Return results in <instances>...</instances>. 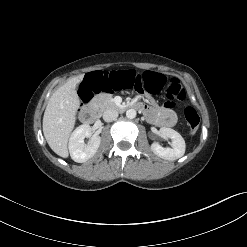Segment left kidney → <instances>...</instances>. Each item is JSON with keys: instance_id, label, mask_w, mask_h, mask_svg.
<instances>
[{"instance_id": "5707ae66", "label": "left kidney", "mask_w": 247, "mask_h": 247, "mask_svg": "<svg viewBox=\"0 0 247 247\" xmlns=\"http://www.w3.org/2000/svg\"><path fill=\"white\" fill-rule=\"evenodd\" d=\"M159 134L172 140V148H163L159 143L153 142L151 145V150L154 154L165 160L171 161L184 155L186 148L185 141L177 131L171 128L161 127Z\"/></svg>"}]
</instances>
